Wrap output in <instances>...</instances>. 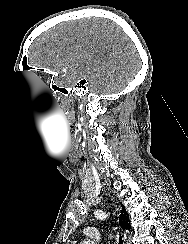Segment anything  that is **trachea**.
<instances>
[{"instance_id":"1","label":"trachea","mask_w":188,"mask_h":244,"mask_svg":"<svg viewBox=\"0 0 188 244\" xmlns=\"http://www.w3.org/2000/svg\"><path fill=\"white\" fill-rule=\"evenodd\" d=\"M119 244H123L122 238L119 237Z\"/></svg>"}]
</instances>
